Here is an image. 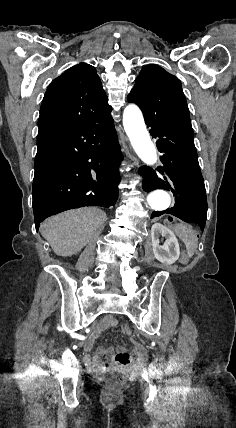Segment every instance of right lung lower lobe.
Returning a JSON list of instances; mask_svg holds the SVG:
<instances>
[{
	"label": "right lung lower lobe",
	"instance_id": "right-lung-lower-lobe-1",
	"mask_svg": "<svg viewBox=\"0 0 236 428\" xmlns=\"http://www.w3.org/2000/svg\"><path fill=\"white\" fill-rule=\"evenodd\" d=\"M122 154L111 113L82 126L37 138L33 211L45 218L85 206H114Z\"/></svg>",
	"mask_w": 236,
	"mask_h": 428
}]
</instances>
